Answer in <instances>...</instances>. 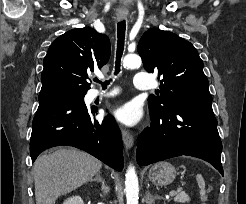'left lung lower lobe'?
<instances>
[{"instance_id":"0a47b994","label":"left lung lower lobe","mask_w":246,"mask_h":204,"mask_svg":"<svg viewBox=\"0 0 246 204\" xmlns=\"http://www.w3.org/2000/svg\"><path fill=\"white\" fill-rule=\"evenodd\" d=\"M150 118V127L137 143L139 165L189 155L208 161L223 175L222 143L211 102H176L161 113H150Z\"/></svg>"}]
</instances>
